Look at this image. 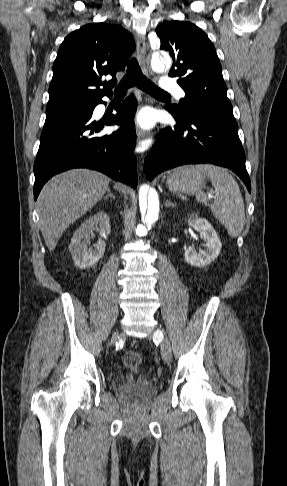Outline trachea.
Segmentation results:
<instances>
[{
	"mask_svg": "<svg viewBox=\"0 0 287 486\" xmlns=\"http://www.w3.org/2000/svg\"><path fill=\"white\" fill-rule=\"evenodd\" d=\"M135 85L152 96H170L147 79L143 75L137 60L132 58L128 63L126 75L115 89V94L124 95L127 92V89Z\"/></svg>",
	"mask_w": 287,
	"mask_h": 486,
	"instance_id": "3493384b",
	"label": "trachea"
}]
</instances>
